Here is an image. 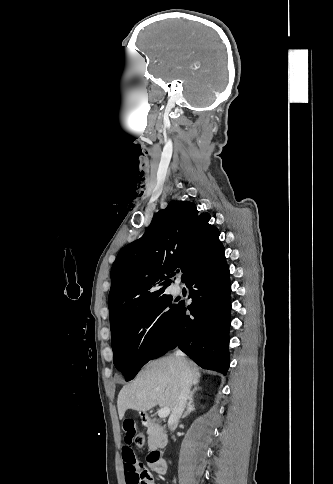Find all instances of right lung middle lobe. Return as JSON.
Here are the masks:
<instances>
[{
  "label": "right lung middle lobe",
  "mask_w": 333,
  "mask_h": 484,
  "mask_svg": "<svg viewBox=\"0 0 333 484\" xmlns=\"http://www.w3.org/2000/svg\"><path fill=\"white\" fill-rule=\"evenodd\" d=\"M179 307L170 296L163 295L137 308L111 329L113 362L127 381L151 360Z\"/></svg>",
  "instance_id": "1"
}]
</instances>
